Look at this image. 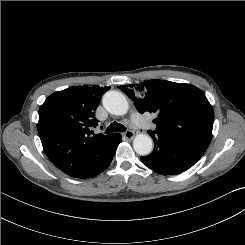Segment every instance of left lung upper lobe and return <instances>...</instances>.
I'll return each mask as SVG.
<instances>
[{"mask_svg": "<svg viewBox=\"0 0 245 245\" xmlns=\"http://www.w3.org/2000/svg\"><path fill=\"white\" fill-rule=\"evenodd\" d=\"M140 113H155L153 133L179 136L209 146L213 108L197 87L165 80L119 86ZM151 132V131H150Z\"/></svg>", "mask_w": 245, "mask_h": 245, "instance_id": "obj_1", "label": "left lung upper lobe"}]
</instances>
